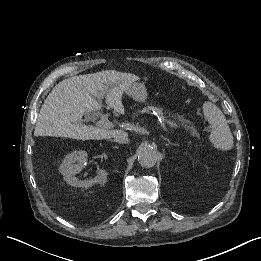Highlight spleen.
Listing matches in <instances>:
<instances>
[{
	"label": "spleen",
	"mask_w": 261,
	"mask_h": 261,
	"mask_svg": "<svg viewBox=\"0 0 261 261\" xmlns=\"http://www.w3.org/2000/svg\"><path fill=\"white\" fill-rule=\"evenodd\" d=\"M204 115L211 126L210 142L219 150H231L234 146L233 136L222 111L209 105L204 108Z\"/></svg>",
	"instance_id": "3e777b00"
}]
</instances>
